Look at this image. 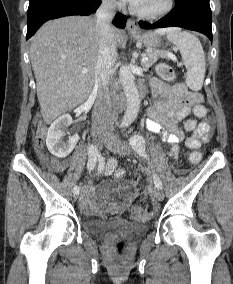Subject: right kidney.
Masks as SVG:
<instances>
[{"label": "right kidney", "instance_id": "1", "mask_svg": "<svg viewBox=\"0 0 233 284\" xmlns=\"http://www.w3.org/2000/svg\"><path fill=\"white\" fill-rule=\"evenodd\" d=\"M70 124H72V117L69 114H64L56 119L48 129L46 145L50 153L57 158L68 156L79 140L77 135L64 140L63 137Z\"/></svg>", "mask_w": 233, "mask_h": 284}]
</instances>
